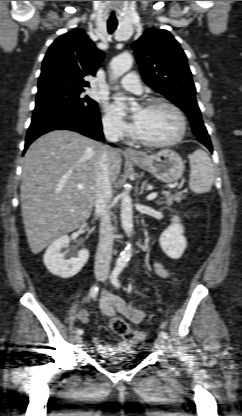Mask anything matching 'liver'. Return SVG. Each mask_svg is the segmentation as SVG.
I'll use <instances>...</instances> for the list:
<instances>
[{"label": "liver", "mask_w": 242, "mask_h": 416, "mask_svg": "<svg viewBox=\"0 0 242 416\" xmlns=\"http://www.w3.org/2000/svg\"><path fill=\"white\" fill-rule=\"evenodd\" d=\"M103 145L70 130H54L38 138L25 153L21 211L34 254L62 235L82 226L95 199L97 164ZM121 154L110 155L109 177L120 173ZM83 185V189L77 186Z\"/></svg>", "instance_id": "6515ba94"}]
</instances>
